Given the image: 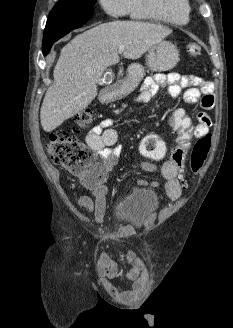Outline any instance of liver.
<instances>
[{
    "label": "liver",
    "instance_id": "6515ba94",
    "mask_svg": "<svg viewBox=\"0 0 233 328\" xmlns=\"http://www.w3.org/2000/svg\"><path fill=\"white\" fill-rule=\"evenodd\" d=\"M172 30L138 21H112L74 37L60 52L53 71L54 83L47 90L40 111L43 129L51 132L84 110L97 95V83L111 65L123 57L138 59Z\"/></svg>",
    "mask_w": 233,
    "mask_h": 328
}]
</instances>
